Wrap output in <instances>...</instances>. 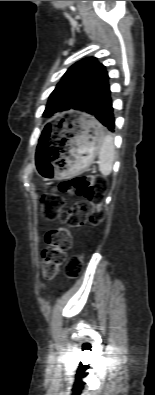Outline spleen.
I'll return each instance as SVG.
<instances>
[{"mask_svg":"<svg viewBox=\"0 0 155 395\" xmlns=\"http://www.w3.org/2000/svg\"><path fill=\"white\" fill-rule=\"evenodd\" d=\"M115 157V148L110 135H106L102 139L99 150V170L104 176H108L112 172Z\"/></svg>","mask_w":155,"mask_h":395,"instance_id":"3e777b00","label":"spleen"}]
</instances>
